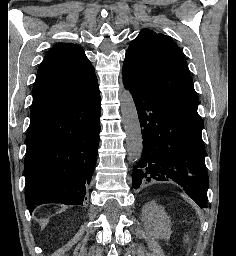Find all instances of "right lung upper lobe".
Wrapping results in <instances>:
<instances>
[{
  "label": "right lung upper lobe",
  "instance_id": "1",
  "mask_svg": "<svg viewBox=\"0 0 236 256\" xmlns=\"http://www.w3.org/2000/svg\"><path fill=\"white\" fill-rule=\"evenodd\" d=\"M95 84V71L84 51L71 43L55 44L38 69L30 121L43 117Z\"/></svg>",
  "mask_w": 236,
  "mask_h": 256
}]
</instances>
